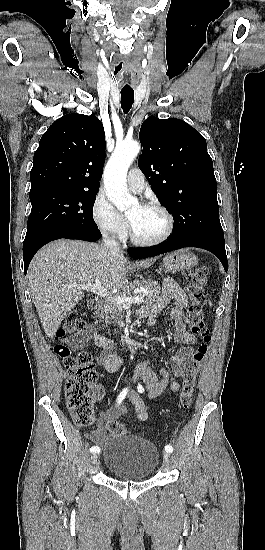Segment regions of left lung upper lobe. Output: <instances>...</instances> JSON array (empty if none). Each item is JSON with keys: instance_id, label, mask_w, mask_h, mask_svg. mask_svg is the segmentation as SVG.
Instances as JSON below:
<instances>
[{"instance_id": "1", "label": "left lung upper lobe", "mask_w": 265, "mask_h": 550, "mask_svg": "<svg viewBox=\"0 0 265 550\" xmlns=\"http://www.w3.org/2000/svg\"><path fill=\"white\" fill-rule=\"evenodd\" d=\"M140 139L139 168L174 219L168 239L200 237L225 244L205 138L180 119L150 116L141 125Z\"/></svg>"}]
</instances>
